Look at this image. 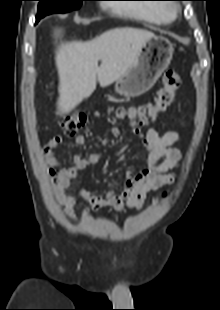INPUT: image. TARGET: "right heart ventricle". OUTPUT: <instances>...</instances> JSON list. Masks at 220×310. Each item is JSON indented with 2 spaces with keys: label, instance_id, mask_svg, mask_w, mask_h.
Masks as SVG:
<instances>
[{
  "label": "right heart ventricle",
  "instance_id": "e07e8e85",
  "mask_svg": "<svg viewBox=\"0 0 220 310\" xmlns=\"http://www.w3.org/2000/svg\"><path fill=\"white\" fill-rule=\"evenodd\" d=\"M168 7L165 4L149 3L117 7L116 10L120 14L134 16L150 24L162 25L171 19L168 13Z\"/></svg>",
  "mask_w": 220,
  "mask_h": 310
}]
</instances>
